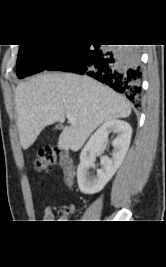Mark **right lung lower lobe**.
Instances as JSON below:
<instances>
[{
  "label": "right lung lower lobe",
  "instance_id": "right-lung-lower-lobe-1",
  "mask_svg": "<svg viewBox=\"0 0 166 267\" xmlns=\"http://www.w3.org/2000/svg\"><path fill=\"white\" fill-rule=\"evenodd\" d=\"M86 74L138 103L142 71L134 47L109 50L100 45H68L45 69Z\"/></svg>",
  "mask_w": 166,
  "mask_h": 267
}]
</instances>
